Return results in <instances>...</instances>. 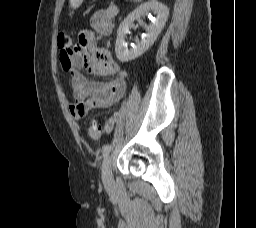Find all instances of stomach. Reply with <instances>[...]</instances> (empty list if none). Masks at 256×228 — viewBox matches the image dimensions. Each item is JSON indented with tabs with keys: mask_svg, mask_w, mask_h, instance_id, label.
Listing matches in <instances>:
<instances>
[{
	"mask_svg": "<svg viewBox=\"0 0 256 228\" xmlns=\"http://www.w3.org/2000/svg\"><path fill=\"white\" fill-rule=\"evenodd\" d=\"M84 0H69L70 7L72 9H77Z\"/></svg>",
	"mask_w": 256,
	"mask_h": 228,
	"instance_id": "1",
	"label": "stomach"
}]
</instances>
